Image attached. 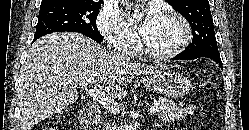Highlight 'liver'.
I'll return each instance as SVG.
<instances>
[{
    "label": "liver",
    "instance_id": "obj_1",
    "mask_svg": "<svg viewBox=\"0 0 249 130\" xmlns=\"http://www.w3.org/2000/svg\"><path fill=\"white\" fill-rule=\"evenodd\" d=\"M163 65L120 61L118 53L79 33H53L37 40L27 56L19 89L21 130L77 100V86L103 83L108 97L121 99L134 75L156 74Z\"/></svg>",
    "mask_w": 249,
    "mask_h": 130
}]
</instances>
